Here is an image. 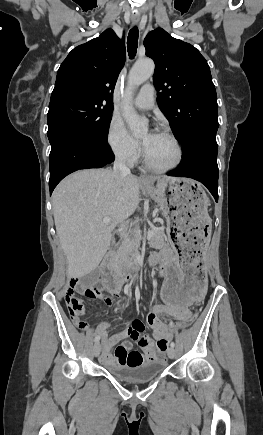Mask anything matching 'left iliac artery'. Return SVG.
Masks as SVG:
<instances>
[{
	"label": "left iliac artery",
	"mask_w": 263,
	"mask_h": 435,
	"mask_svg": "<svg viewBox=\"0 0 263 435\" xmlns=\"http://www.w3.org/2000/svg\"><path fill=\"white\" fill-rule=\"evenodd\" d=\"M170 346L174 348L175 347V343L171 342Z\"/></svg>",
	"instance_id": "left-iliac-artery-1"
}]
</instances>
